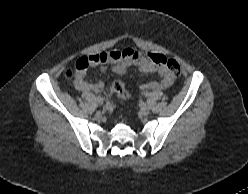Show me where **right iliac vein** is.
<instances>
[{
  "instance_id": "obj_1",
  "label": "right iliac vein",
  "mask_w": 248,
  "mask_h": 194,
  "mask_svg": "<svg viewBox=\"0 0 248 194\" xmlns=\"http://www.w3.org/2000/svg\"><path fill=\"white\" fill-rule=\"evenodd\" d=\"M96 102L98 105H102L103 104V99L102 98H97Z\"/></svg>"
}]
</instances>
